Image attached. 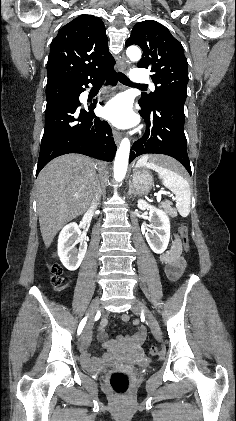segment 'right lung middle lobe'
<instances>
[{"label": "right lung middle lobe", "mask_w": 236, "mask_h": 421, "mask_svg": "<svg viewBox=\"0 0 236 421\" xmlns=\"http://www.w3.org/2000/svg\"><path fill=\"white\" fill-rule=\"evenodd\" d=\"M75 89L70 86L55 85L46 87L47 106H52L57 103L71 102L77 99Z\"/></svg>", "instance_id": "right-lung-middle-lobe-1"}]
</instances>
